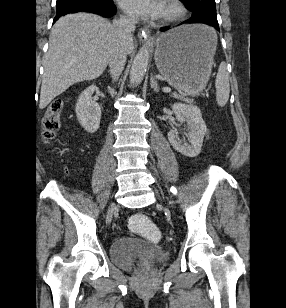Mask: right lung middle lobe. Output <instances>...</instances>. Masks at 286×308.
Here are the masks:
<instances>
[{
	"label": "right lung middle lobe",
	"instance_id": "right-lung-middle-lobe-1",
	"mask_svg": "<svg viewBox=\"0 0 286 308\" xmlns=\"http://www.w3.org/2000/svg\"><path fill=\"white\" fill-rule=\"evenodd\" d=\"M73 1H93V0H57V5ZM99 1H107V0H99Z\"/></svg>",
	"mask_w": 286,
	"mask_h": 308
}]
</instances>
